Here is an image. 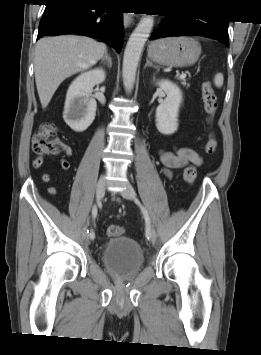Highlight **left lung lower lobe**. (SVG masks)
<instances>
[{
  "label": "left lung lower lobe",
  "instance_id": "0a47b994",
  "mask_svg": "<svg viewBox=\"0 0 261 355\" xmlns=\"http://www.w3.org/2000/svg\"><path fill=\"white\" fill-rule=\"evenodd\" d=\"M228 20L198 19L169 15L164 18L160 27L153 32L151 39L170 36H205L229 45Z\"/></svg>",
  "mask_w": 261,
  "mask_h": 355
}]
</instances>
